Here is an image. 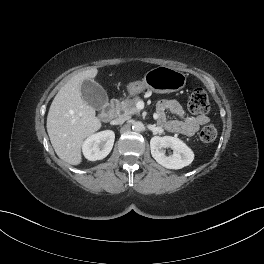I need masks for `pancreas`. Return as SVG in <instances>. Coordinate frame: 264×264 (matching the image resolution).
<instances>
[{
	"instance_id": "pancreas-1",
	"label": "pancreas",
	"mask_w": 264,
	"mask_h": 264,
	"mask_svg": "<svg viewBox=\"0 0 264 264\" xmlns=\"http://www.w3.org/2000/svg\"><path fill=\"white\" fill-rule=\"evenodd\" d=\"M141 99L140 97L129 98L127 97L125 100L117 103L116 110L118 113H123L124 116L130 117L131 115H139L140 110L136 107L137 102Z\"/></svg>"
}]
</instances>
